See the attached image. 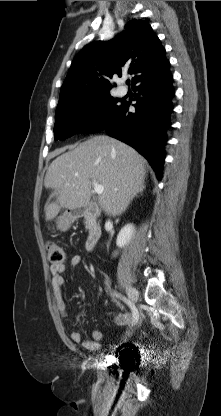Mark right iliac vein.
<instances>
[{
    "label": "right iliac vein",
    "instance_id": "right-iliac-vein-1",
    "mask_svg": "<svg viewBox=\"0 0 221 416\" xmlns=\"http://www.w3.org/2000/svg\"><path fill=\"white\" fill-rule=\"evenodd\" d=\"M127 294H128V297H129V299L132 303H135L137 301L138 291L135 288L129 286L127 288Z\"/></svg>",
    "mask_w": 221,
    "mask_h": 416
}]
</instances>
